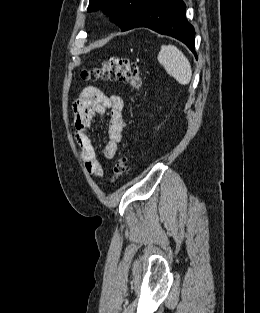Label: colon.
Here are the masks:
<instances>
[{
    "mask_svg": "<svg viewBox=\"0 0 260 313\" xmlns=\"http://www.w3.org/2000/svg\"><path fill=\"white\" fill-rule=\"evenodd\" d=\"M81 76L86 80L120 81L139 93L143 86V79L136 62L121 58L111 57L100 67L85 69ZM129 170V162L125 155L120 156L112 168L111 182L124 177Z\"/></svg>",
    "mask_w": 260,
    "mask_h": 313,
    "instance_id": "1",
    "label": "colon"
}]
</instances>
